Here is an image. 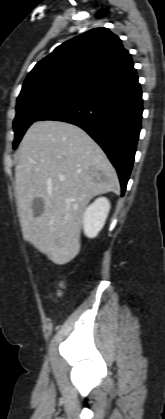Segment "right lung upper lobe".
I'll use <instances>...</instances> for the list:
<instances>
[{
  "label": "right lung upper lobe",
  "instance_id": "cb5924a9",
  "mask_svg": "<svg viewBox=\"0 0 165 419\" xmlns=\"http://www.w3.org/2000/svg\"><path fill=\"white\" fill-rule=\"evenodd\" d=\"M133 61L121 40L107 28L89 30L55 48L28 74L19 96L60 86L91 92L131 69Z\"/></svg>",
  "mask_w": 165,
  "mask_h": 419
}]
</instances>
